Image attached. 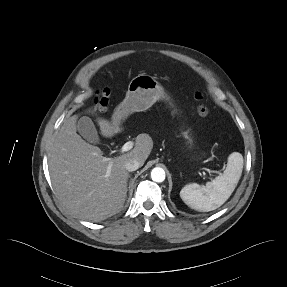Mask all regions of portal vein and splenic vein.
Returning <instances> with one entry per match:
<instances>
[{"mask_svg":"<svg viewBox=\"0 0 287 287\" xmlns=\"http://www.w3.org/2000/svg\"><path fill=\"white\" fill-rule=\"evenodd\" d=\"M134 146V143L132 141H128L126 142L120 149V153H125V152H128L129 150H131ZM205 171H208V172H212L210 171L209 169H204ZM110 171H111V166H108V169H107V172H106V177H108L110 175Z\"/></svg>","mask_w":287,"mask_h":287,"instance_id":"obj_1","label":"portal vein and splenic vein"}]
</instances>
